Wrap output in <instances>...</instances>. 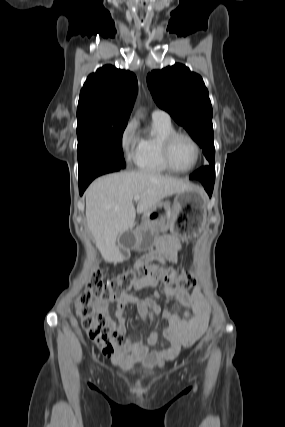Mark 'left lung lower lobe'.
Returning <instances> with one entry per match:
<instances>
[{
	"label": "left lung lower lobe",
	"mask_w": 285,
	"mask_h": 427,
	"mask_svg": "<svg viewBox=\"0 0 285 427\" xmlns=\"http://www.w3.org/2000/svg\"><path fill=\"white\" fill-rule=\"evenodd\" d=\"M189 179H197L201 181L205 190L211 196L215 181V164L210 163L209 166L202 167L189 176Z\"/></svg>",
	"instance_id": "0a47b994"
}]
</instances>
